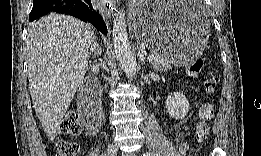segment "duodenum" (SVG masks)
<instances>
[{"label": "duodenum", "mask_w": 261, "mask_h": 156, "mask_svg": "<svg viewBox=\"0 0 261 156\" xmlns=\"http://www.w3.org/2000/svg\"><path fill=\"white\" fill-rule=\"evenodd\" d=\"M101 109L102 101L99 83L95 79H90L79 94L80 115L84 121L98 125L100 123Z\"/></svg>", "instance_id": "1"}]
</instances>
